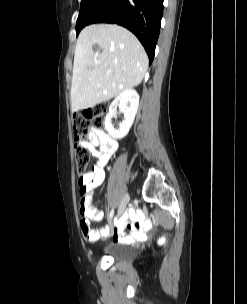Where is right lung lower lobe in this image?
Listing matches in <instances>:
<instances>
[{
    "label": "right lung lower lobe",
    "mask_w": 247,
    "mask_h": 304,
    "mask_svg": "<svg viewBox=\"0 0 247 304\" xmlns=\"http://www.w3.org/2000/svg\"><path fill=\"white\" fill-rule=\"evenodd\" d=\"M163 0H102L83 20V27L93 23H111L133 32L144 46L152 63L159 37Z\"/></svg>",
    "instance_id": "obj_1"
}]
</instances>
